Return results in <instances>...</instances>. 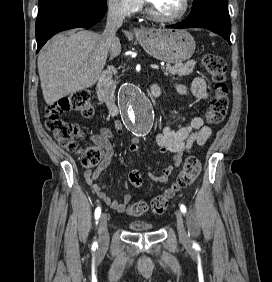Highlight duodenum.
I'll use <instances>...</instances> for the list:
<instances>
[{
  "label": "duodenum",
  "mask_w": 272,
  "mask_h": 282,
  "mask_svg": "<svg viewBox=\"0 0 272 282\" xmlns=\"http://www.w3.org/2000/svg\"><path fill=\"white\" fill-rule=\"evenodd\" d=\"M112 77V69L103 71L97 83V98L106 106L110 115L117 116L119 114V109L115 101L112 99L111 93L109 91V85L111 83ZM149 91L154 99H157L161 94L160 87L156 83H152L150 85Z\"/></svg>",
  "instance_id": "410a0bca"
}]
</instances>
